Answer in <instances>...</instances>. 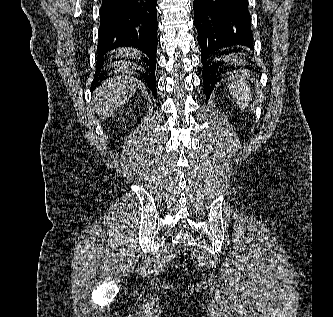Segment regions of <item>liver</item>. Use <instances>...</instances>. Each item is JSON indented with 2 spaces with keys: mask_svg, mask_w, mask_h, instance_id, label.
Instances as JSON below:
<instances>
[{
  "mask_svg": "<svg viewBox=\"0 0 333 317\" xmlns=\"http://www.w3.org/2000/svg\"><path fill=\"white\" fill-rule=\"evenodd\" d=\"M116 53L120 58L140 54L132 48H119ZM113 66L121 75L105 80L95 90L92 101L96 113L103 120L108 119L118 107L126 103L136 93V87L139 85V81L131 76L132 70L140 69L138 65L121 60Z\"/></svg>",
  "mask_w": 333,
  "mask_h": 317,
  "instance_id": "1",
  "label": "liver"
}]
</instances>
